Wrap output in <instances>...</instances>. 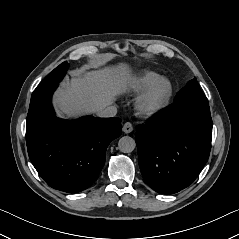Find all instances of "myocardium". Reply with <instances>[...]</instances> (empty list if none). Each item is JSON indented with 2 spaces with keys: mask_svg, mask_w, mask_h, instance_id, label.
<instances>
[{
  "mask_svg": "<svg viewBox=\"0 0 239 239\" xmlns=\"http://www.w3.org/2000/svg\"><path fill=\"white\" fill-rule=\"evenodd\" d=\"M173 94L171 81L158 76L136 99L135 108L143 115L152 116L162 111Z\"/></svg>",
  "mask_w": 239,
  "mask_h": 239,
  "instance_id": "1",
  "label": "myocardium"
}]
</instances>
